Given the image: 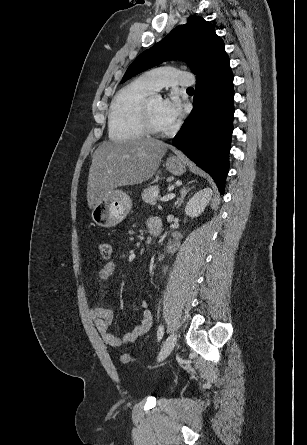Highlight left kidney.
Listing matches in <instances>:
<instances>
[{
	"label": "left kidney",
	"mask_w": 307,
	"mask_h": 445,
	"mask_svg": "<svg viewBox=\"0 0 307 445\" xmlns=\"http://www.w3.org/2000/svg\"><path fill=\"white\" fill-rule=\"evenodd\" d=\"M212 194V188H202L199 192H195L186 204V214H189V216H199V214L203 212L205 206H207V202L211 200Z\"/></svg>",
	"instance_id": "5707ae66"
}]
</instances>
